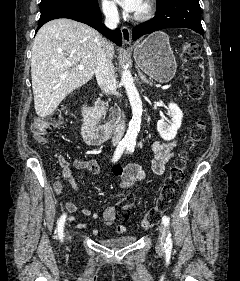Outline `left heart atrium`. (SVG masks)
Listing matches in <instances>:
<instances>
[{
    "label": "left heart atrium",
    "instance_id": "1",
    "mask_svg": "<svg viewBox=\"0 0 240 281\" xmlns=\"http://www.w3.org/2000/svg\"><path fill=\"white\" fill-rule=\"evenodd\" d=\"M144 0H117V2L129 12H139L142 8Z\"/></svg>",
    "mask_w": 240,
    "mask_h": 281
}]
</instances>
